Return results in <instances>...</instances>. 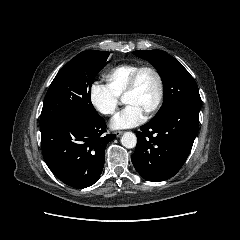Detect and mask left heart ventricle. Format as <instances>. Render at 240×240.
<instances>
[{
    "instance_id": "obj_1",
    "label": "left heart ventricle",
    "mask_w": 240,
    "mask_h": 240,
    "mask_svg": "<svg viewBox=\"0 0 240 240\" xmlns=\"http://www.w3.org/2000/svg\"><path fill=\"white\" fill-rule=\"evenodd\" d=\"M157 97V81L153 73L144 71L139 77L136 89L125 97V103L146 112Z\"/></svg>"
}]
</instances>
